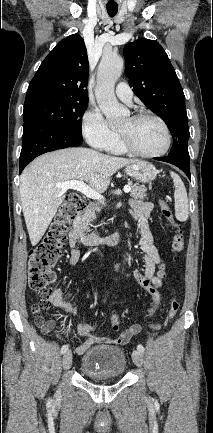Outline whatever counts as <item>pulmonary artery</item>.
Instances as JSON below:
<instances>
[{"label":"pulmonary artery","instance_id":"e3ab8cb5","mask_svg":"<svg viewBox=\"0 0 213 433\" xmlns=\"http://www.w3.org/2000/svg\"><path fill=\"white\" fill-rule=\"evenodd\" d=\"M115 93L121 101L131 103L133 92L126 82H120L116 87Z\"/></svg>","mask_w":213,"mask_h":433}]
</instances>
